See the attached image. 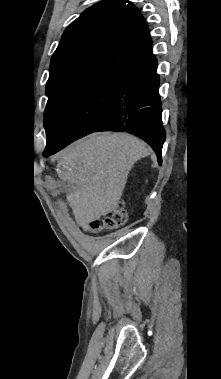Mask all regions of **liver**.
Wrapping results in <instances>:
<instances>
[{
	"instance_id": "6515ba94",
	"label": "liver",
	"mask_w": 221,
	"mask_h": 379,
	"mask_svg": "<svg viewBox=\"0 0 221 379\" xmlns=\"http://www.w3.org/2000/svg\"><path fill=\"white\" fill-rule=\"evenodd\" d=\"M149 154L142 140L126 133L91 134L63 149L57 172L77 186L67 194L76 222L86 225L115 210L132 166Z\"/></svg>"
}]
</instances>
